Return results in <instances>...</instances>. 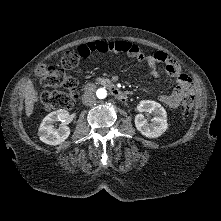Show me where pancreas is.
Masks as SVG:
<instances>
[{
    "label": "pancreas",
    "instance_id": "pancreas-1",
    "mask_svg": "<svg viewBox=\"0 0 221 221\" xmlns=\"http://www.w3.org/2000/svg\"><path fill=\"white\" fill-rule=\"evenodd\" d=\"M108 80L106 78H103V77H98L96 79V83H105L107 82Z\"/></svg>",
    "mask_w": 221,
    "mask_h": 221
}]
</instances>
